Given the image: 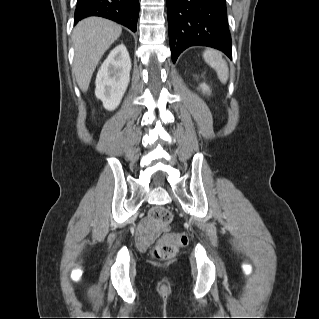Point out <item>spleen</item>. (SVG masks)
Masks as SVG:
<instances>
[{"mask_svg": "<svg viewBox=\"0 0 319 319\" xmlns=\"http://www.w3.org/2000/svg\"><path fill=\"white\" fill-rule=\"evenodd\" d=\"M203 57L206 63H208V65L215 69L219 80L222 83H226L229 76V70L228 65L226 61L222 58L221 53L212 49H207L203 53Z\"/></svg>", "mask_w": 319, "mask_h": 319, "instance_id": "3e777b00", "label": "spleen"}]
</instances>
